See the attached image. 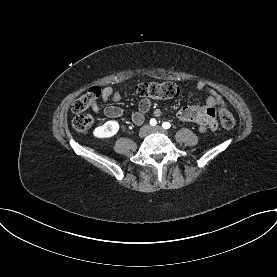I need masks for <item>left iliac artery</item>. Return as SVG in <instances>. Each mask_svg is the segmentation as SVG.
I'll return each instance as SVG.
<instances>
[{"mask_svg":"<svg viewBox=\"0 0 277 277\" xmlns=\"http://www.w3.org/2000/svg\"><path fill=\"white\" fill-rule=\"evenodd\" d=\"M162 127H163L164 129H169V128L171 127V124H170L169 122H164V123L162 124Z\"/></svg>","mask_w":277,"mask_h":277,"instance_id":"1","label":"left iliac artery"}]
</instances>
